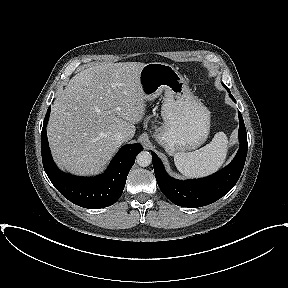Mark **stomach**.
<instances>
[{
	"label": "stomach",
	"instance_id": "0dacf381",
	"mask_svg": "<svg viewBox=\"0 0 288 288\" xmlns=\"http://www.w3.org/2000/svg\"><path fill=\"white\" fill-rule=\"evenodd\" d=\"M139 82L146 101L164 93L163 125L154 137L169 155L195 150L206 141L210 111L193 95L174 66L161 62L145 64L140 70Z\"/></svg>",
	"mask_w": 288,
	"mask_h": 288
}]
</instances>
